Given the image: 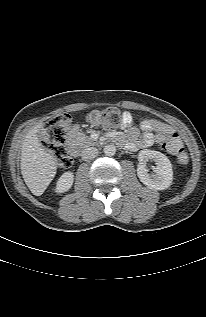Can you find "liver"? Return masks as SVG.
Returning <instances> with one entry per match:
<instances>
[{
    "label": "liver",
    "instance_id": "liver-1",
    "mask_svg": "<svg viewBox=\"0 0 206 317\" xmlns=\"http://www.w3.org/2000/svg\"><path fill=\"white\" fill-rule=\"evenodd\" d=\"M43 124L33 127L26 135L21 150V174L35 196L46 190L56 175V160L47 153L38 140L37 133Z\"/></svg>",
    "mask_w": 206,
    "mask_h": 317
}]
</instances>
